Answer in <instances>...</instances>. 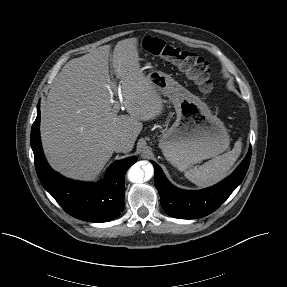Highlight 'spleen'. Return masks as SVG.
<instances>
[{
  "mask_svg": "<svg viewBox=\"0 0 287 287\" xmlns=\"http://www.w3.org/2000/svg\"><path fill=\"white\" fill-rule=\"evenodd\" d=\"M242 150L241 139L235 142L234 148L208 162L185 171V177L199 187H209L224 179L238 159Z\"/></svg>",
  "mask_w": 287,
  "mask_h": 287,
  "instance_id": "spleen-1",
  "label": "spleen"
}]
</instances>
